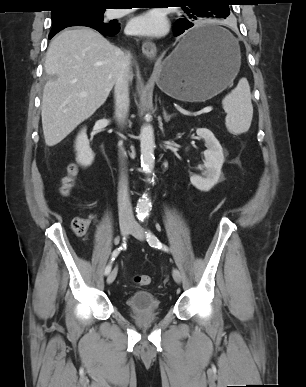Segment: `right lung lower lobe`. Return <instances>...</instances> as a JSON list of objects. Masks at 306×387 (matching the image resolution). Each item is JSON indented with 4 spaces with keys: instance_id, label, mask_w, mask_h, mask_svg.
Returning a JSON list of instances; mask_svg holds the SVG:
<instances>
[{
    "instance_id": "1",
    "label": "right lung lower lobe",
    "mask_w": 306,
    "mask_h": 387,
    "mask_svg": "<svg viewBox=\"0 0 306 387\" xmlns=\"http://www.w3.org/2000/svg\"><path fill=\"white\" fill-rule=\"evenodd\" d=\"M111 25H112L111 27H97L94 29L99 31L104 36H114L119 32L120 25L119 24H111ZM55 34H56L55 32H51V35L49 34L50 35L49 38L51 39Z\"/></svg>"
}]
</instances>
